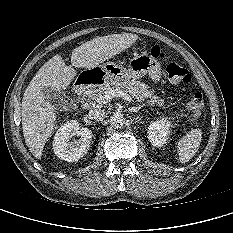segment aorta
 I'll list each match as a JSON object with an SVG mask.
<instances>
[{
  "label": "aorta",
  "mask_w": 233,
  "mask_h": 233,
  "mask_svg": "<svg viewBox=\"0 0 233 233\" xmlns=\"http://www.w3.org/2000/svg\"><path fill=\"white\" fill-rule=\"evenodd\" d=\"M109 122L110 125L116 129L122 128L125 125V119L121 114H114Z\"/></svg>",
  "instance_id": "1"
}]
</instances>
